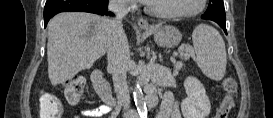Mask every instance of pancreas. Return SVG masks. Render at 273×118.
<instances>
[{
  "mask_svg": "<svg viewBox=\"0 0 273 118\" xmlns=\"http://www.w3.org/2000/svg\"><path fill=\"white\" fill-rule=\"evenodd\" d=\"M193 55H194V51H193V48L190 47V46H185L184 51L181 52V56H182L185 60L189 59L190 57H193ZM178 65L181 66L182 64L179 63ZM176 69L178 70V69H179V66H176Z\"/></svg>",
  "mask_w": 273,
  "mask_h": 118,
  "instance_id": "cf45deb5",
  "label": "pancreas"
}]
</instances>
